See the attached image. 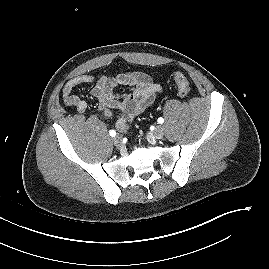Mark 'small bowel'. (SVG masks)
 I'll use <instances>...</instances> for the list:
<instances>
[{"instance_id": "c3829d8e", "label": "small bowel", "mask_w": 269, "mask_h": 269, "mask_svg": "<svg viewBox=\"0 0 269 269\" xmlns=\"http://www.w3.org/2000/svg\"><path fill=\"white\" fill-rule=\"evenodd\" d=\"M95 83L91 93L97 98L99 110L108 119L115 120L118 130L124 132L130 123L143 113L162 92L160 84L142 72L128 71L116 76H99L84 74L71 78L62 90L65 105L84 113L87 103L73 94L74 89L82 84ZM119 88H127L128 92L118 93Z\"/></svg>"}]
</instances>
